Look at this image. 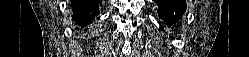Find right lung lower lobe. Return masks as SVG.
Listing matches in <instances>:
<instances>
[{
    "label": "right lung lower lobe",
    "instance_id": "98d812e1",
    "mask_svg": "<svg viewBox=\"0 0 249 57\" xmlns=\"http://www.w3.org/2000/svg\"><path fill=\"white\" fill-rule=\"evenodd\" d=\"M73 9V18L79 21V25L84 27L92 23L99 14L98 0H75L71 3Z\"/></svg>",
    "mask_w": 249,
    "mask_h": 57
}]
</instances>
